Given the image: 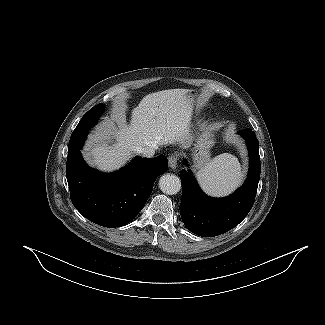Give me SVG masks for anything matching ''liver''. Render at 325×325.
Returning <instances> with one entry per match:
<instances>
[{
	"label": "liver",
	"mask_w": 325,
	"mask_h": 325,
	"mask_svg": "<svg viewBox=\"0 0 325 325\" xmlns=\"http://www.w3.org/2000/svg\"><path fill=\"white\" fill-rule=\"evenodd\" d=\"M187 89H169L143 97L132 110L130 124L121 104L113 123L106 124L90 137L86 157L101 170L112 171L137 154L138 148L178 143L188 148L192 143L189 122L193 102Z\"/></svg>",
	"instance_id": "obj_1"
}]
</instances>
